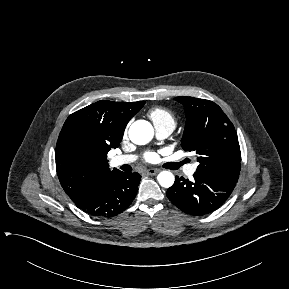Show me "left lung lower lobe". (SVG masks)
I'll return each mask as SVG.
<instances>
[{
  "label": "left lung lower lobe",
  "instance_id": "obj_1",
  "mask_svg": "<svg viewBox=\"0 0 289 289\" xmlns=\"http://www.w3.org/2000/svg\"><path fill=\"white\" fill-rule=\"evenodd\" d=\"M194 180L176 176L167 190L169 200L192 215H205L218 209L231 195L236 183L216 175L195 172Z\"/></svg>",
  "mask_w": 289,
  "mask_h": 289
}]
</instances>
